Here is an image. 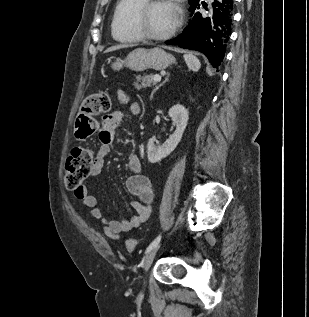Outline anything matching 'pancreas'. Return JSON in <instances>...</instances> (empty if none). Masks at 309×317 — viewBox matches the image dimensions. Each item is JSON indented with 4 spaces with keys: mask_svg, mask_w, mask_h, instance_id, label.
Returning a JSON list of instances; mask_svg holds the SVG:
<instances>
[{
    "mask_svg": "<svg viewBox=\"0 0 309 317\" xmlns=\"http://www.w3.org/2000/svg\"><path fill=\"white\" fill-rule=\"evenodd\" d=\"M155 75L150 74L146 76H138L137 81L133 83L135 89L140 90L142 88L152 87L156 85V81L154 80Z\"/></svg>",
    "mask_w": 309,
    "mask_h": 317,
    "instance_id": "1",
    "label": "pancreas"
}]
</instances>
